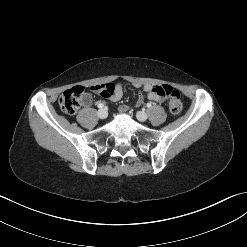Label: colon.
<instances>
[{
	"mask_svg": "<svg viewBox=\"0 0 247 247\" xmlns=\"http://www.w3.org/2000/svg\"><path fill=\"white\" fill-rule=\"evenodd\" d=\"M108 84H101L92 87V90L98 94H103L108 90ZM146 96L150 97L153 102L158 104H165L169 99V111L173 115H178L183 108L180 93L177 90H173L169 85H160L146 87ZM139 95L136 97L134 105L140 108L143 105L145 97L142 95L143 90H138ZM87 94L82 86H74L62 93L59 98V106L61 110L69 115L75 114L80 108L81 104L85 101Z\"/></svg>",
	"mask_w": 247,
	"mask_h": 247,
	"instance_id": "colon-1",
	"label": "colon"
}]
</instances>
